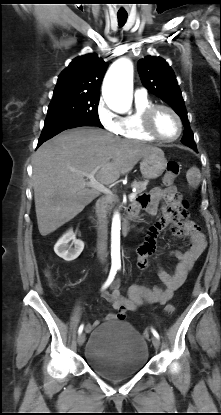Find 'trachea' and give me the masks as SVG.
Wrapping results in <instances>:
<instances>
[{
    "label": "trachea",
    "mask_w": 221,
    "mask_h": 415,
    "mask_svg": "<svg viewBox=\"0 0 221 415\" xmlns=\"http://www.w3.org/2000/svg\"><path fill=\"white\" fill-rule=\"evenodd\" d=\"M117 17L119 26H123L127 21L128 15H118Z\"/></svg>",
    "instance_id": "trachea-1"
}]
</instances>
